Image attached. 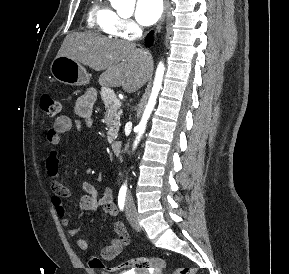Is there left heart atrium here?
<instances>
[{"mask_svg":"<svg viewBox=\"0 0 289 274\" xmlns=\"http://www.w3.org/2000/svg\"><path fill=\"white\" fill-rule=\"evenodd\" d=\"M162 11V0H137L135 18L141 25H152L160 18Z\"/></svg>","mask_w":289,"mask_h":274,"instance_id":"left-heart-atrium-1","label":"left heart atrium"}]
</instances>
